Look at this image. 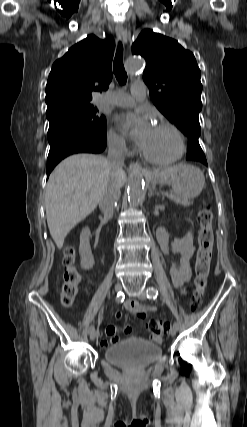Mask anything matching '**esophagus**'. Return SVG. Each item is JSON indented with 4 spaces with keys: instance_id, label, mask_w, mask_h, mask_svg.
<instances>
[{
    "instance_id": "esophagus-1",
    "label": "esophagus",
    "mask_w": 247,
    "mask_h": 427,
    "mask_svg": "<svg viewBox=\"0 0 247 427\" xmlns=\"http://www.w3.org/2000/svg\"><path fill=\"white\" fill-rule=\"evenodd\" d=\"M115 32L117 34V36L123 41H126V31L124 29V27L122 25H117L115 27ZM129 168L132 170H140L142 173L144 174H149L151 173L148 169L142 167L139 163L137 162H131L129 165Z\"/></svg>"
}]
</instances>
